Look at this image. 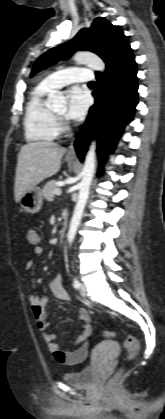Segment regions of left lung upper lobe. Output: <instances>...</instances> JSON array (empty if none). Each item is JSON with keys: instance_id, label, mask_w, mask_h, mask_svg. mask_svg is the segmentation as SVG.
Returning <instances> with one entry per match:
<instances>
[{"instance_id": "left-lung-upper-lobe-1", "label": "left lung upper lobe", "mask_w": 165, "mask_h": 419, "mask_svg": "<svg viewBox=\"0 0 165 419\" xmlns=\"http://www.w3.org/2000/svg\"><path fill=\"white\" fill-rule=\"evenodd\" d=\"M129 49L128 39L119 27L103 18H96L90 28L80 30L69 42L52 48L40 56L32 69L31 76L59 60L68 58L76 50H87L98 54L108 69Z\"/></svg>"}]
</instances>
